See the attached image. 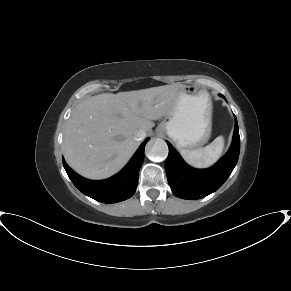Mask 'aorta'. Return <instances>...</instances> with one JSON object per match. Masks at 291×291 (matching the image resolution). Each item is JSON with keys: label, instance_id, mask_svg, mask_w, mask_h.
Masks as SVG:
<instances>
[{"label": "aorta", "instance_id": "762f6f07", "mask_svg": "<svg viewBox=\"0 0 291 291\" xmlns=\"http://www.w3.org/2000/svg\"><path fill=\"white\" fill-rule=\"evenodd\" d=\"M147 157L154 162H161L168 156L167 143L160 138L153 139L146 146Z\"/></svg>", "mask_w": 291, "mask_h": 291}]
</instances>
